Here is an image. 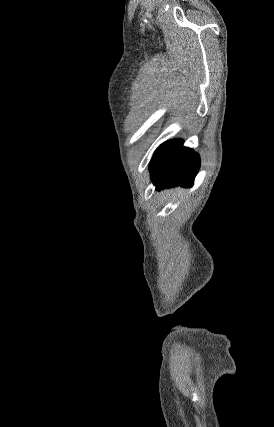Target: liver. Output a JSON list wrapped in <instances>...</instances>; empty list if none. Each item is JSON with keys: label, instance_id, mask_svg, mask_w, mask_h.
I'll list each match as a JSON object with an SVG mask.
<instances>
[{"label": "liver", "instance_id": "obj_1", "mask_svg": "<svg viewBox=\"0 0 274 427\" xmlns=\"http://www.w3.org/2000/svg\"><path fill=\"white\" fill-rule=\"evenodd\" d=\"M175 194H183L182 188H177V190H174Z\"/></svg>", "mask_w": 274, "mask_h": 427}]
</instances>
